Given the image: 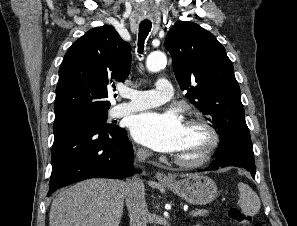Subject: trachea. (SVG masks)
<instances>
[{
    "label": "trachea",
    "instance_id": "1",
    "mask_svg": "<svg viewBox=\"0 0 297 226\" xmlns=\"http://www.w3.org/2000/svg\"><path fill=\"white\" fill-rule=\"evenodd\" d=\"M152 23L150 21H142L139 25L138 36V52L141 54L144 49V42L151 31Z\"/></svg>",
    "mask_w": 297,
    "mask_h": 226
}]
</instances>
